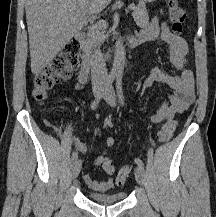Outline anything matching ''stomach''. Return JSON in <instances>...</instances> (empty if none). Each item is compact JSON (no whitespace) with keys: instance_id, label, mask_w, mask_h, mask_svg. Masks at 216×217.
<instances>
[{"instance_id":"stomach-1","label":"stomach","mask_w":216,"mask_h":217,"mask_svg":"<svg viewBox=\"0 0 216 217\" xmlns=\"http://www.w3.org/2000/svg\"><path fill=\"white\" fill-rule=\"evenodd\" d=\"M143 3H151V2H155L156 0H142Z\"/></svg>"}]
</instances>
